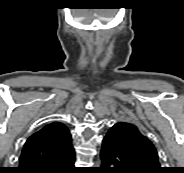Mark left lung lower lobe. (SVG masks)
<instances>
[{"instance_id": "0a47b994", "label": "left lung lower lobe", "mask_w": 184, "mask_h": 173, "mask_svg": "<svg viewBox=\"0 0 184 173\" xmlns=\"http://www.w3.org/2000/svg\"><path fill=\"white\" fill-rule=\"evenodd\" d=\"M102 166L99 173H136L127 159L112 145L110 138L104 137L101 148Z\"/></svg>"}]
</instances>
